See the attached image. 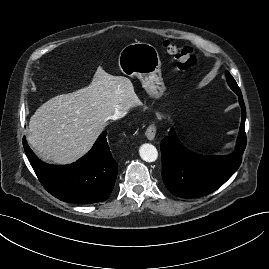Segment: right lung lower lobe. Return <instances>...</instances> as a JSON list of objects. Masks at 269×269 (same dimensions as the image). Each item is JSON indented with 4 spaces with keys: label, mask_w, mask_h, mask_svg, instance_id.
Masks as SVG:
<instances>
[{
    "label": "right lung lower lobe",
    "mask_w": 269,
    "mask_h": 269,
    "mask_svg": "<svg viewBox=\"0 0 269 269\" xmlns=\"http://www.w3.org/2000/svg\"><path fill=\"white\" fill-rule=\"evenodd\" d=\"M104 131L92 149L77 162L65 166L39 160L23 141L27 158L39 181L56 198L69 203H96L106 200L113 190L118 164L113 159Z\"/></svg>",
    "instance_id": "right-lung-lower-lobe-1"
}]
</instances>
